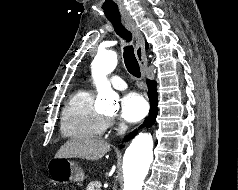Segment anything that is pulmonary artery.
I'll list each match as a JSON object with an SVG mask.
<instances>
[{"label":"pulmonary artery","mask_w":238,"mask_h":190,"mask_svg":"<svg viewBox=\"0 0 238 190\" xmlns=\"http://www.w3.org/2000/svg\"><path fill=\"white\" fill-rule=\"evenodd\" d=\"M111 84L112 86L117 89V90H124L127 87V84L125 83L124 80H122L120 77L118 76H113L111 78Z\"/></svg>","instance_id":"1"}]
</instances>
